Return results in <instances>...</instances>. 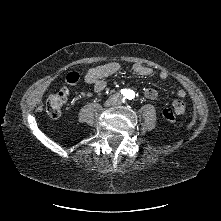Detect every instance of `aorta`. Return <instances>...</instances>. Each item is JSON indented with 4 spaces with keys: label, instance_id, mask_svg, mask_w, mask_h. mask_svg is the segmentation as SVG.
<instances>
[{
    "label": "aorta",
    "instance_id": "762f6f07",
    "mask_svg": "<svg viewBox=\"0 0 221 221\" xmlns=\"http://www.w3.org/2000/svg\"><path fill=\"white\" fill-rule=\"evenodd\" d=\"M134 96H135V94H134V92L132 91V93H130V98L132 99V98H134Z\"/></svg>",
    "mask_w": 221,
    "mask_h": 221
}]
</instances>
